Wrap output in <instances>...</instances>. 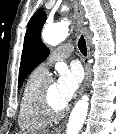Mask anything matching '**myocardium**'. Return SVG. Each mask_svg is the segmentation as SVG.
Here are the masks:
<instances>
[{
	"instance_id": "obj_1",
	"label": "myocardium",
	"mask_w": 116,
	"mask_h": 134,
	"mask_svg": "<svg viewBox=\"0 0 116 134\" xmlns=\"http://www.w3.org/2000/svg\"><path fill=\"white\" fill-rule=\"evenodd\" d=\"M53 82L51 77H46L34 95V104L37 111L51 120L63 117L68 110L67 106L56 108L51 103L49 98V88Z\"/></svg>"
}]
</instances>
